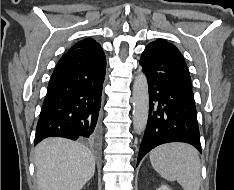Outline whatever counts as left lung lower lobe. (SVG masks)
Masks as SVG:
<instances>
[{
    "instance_id": "0a47b994",
    "label": "left lung lower lobe",
    "mask_w": 234,
    "mask_h": 190,
    "mask_svg": "<svg viewBox=\"0 0 234 190\" xmlns=\"http://www.w3.org/2000/svg\"><path fill=\"white\" fill-rule=\"evenodd\" d=\"M183 57L166 40L148 44L140 65L149 86V117L137 165L153 148L168 142H185L201 153L200 134L192 88L181 76Z\"/></svg>"
}]
</instances>
